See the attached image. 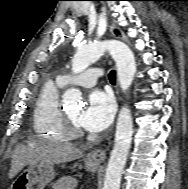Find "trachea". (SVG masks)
Returning <instances> with one entry per match:
<instances>
[{"instance_id":"trachea-1","label":"trachea","mask_w":188,"mask_h":189,"mask_svg":"<svg viewBox=\"0 0 188 189\" xmlns=\"http://www.w3.org/2000/svg\"><path fill=\"white\" fill-rule=\"evenodd\" d=\"M109 80L110 82L112 83H115V80H116V73L114 70H111L110 73H109Z\"/></svg>"}]
</instances>
